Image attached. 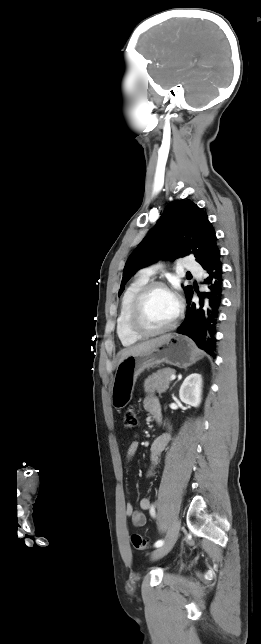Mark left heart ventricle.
I'll return each mask as SVG.
<instances>
[{"instance_id": "1", "label": "left heart ventricle", "mask_w": 261, "mask_h": 644, "mask_svg": "<svg viewBox=\"0 0 261 644\" xmlns=\"http://www.w3.org/2000/svg\"><path fill=\"white\" fill-rule=\"evenodd\" d=\"M178 305L172 293L163 289H154L149 293L142 308V324L154 330L165 327L175 317Z\"/></svg>"}]
</instances>
